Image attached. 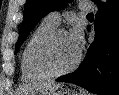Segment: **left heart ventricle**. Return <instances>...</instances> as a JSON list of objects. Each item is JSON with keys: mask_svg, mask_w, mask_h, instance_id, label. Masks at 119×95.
<instances>
[{"mask_svg": "<svg viewBox=\"0 0 119 95\" xmlns=\"http://www.w3.org/2000/svg\"><path fill=\"white\" fill-rule=\"evenodd\" d=\"M78 50L74 47L68 33L60 34L50 49V62L55 69H63L76 59Z\"/></svg>", "mask_w": 119, "mask_h": 95, "instance_id": "left-heart-ventricle-1", "label": "left heart ventricle"}]
</instances>
